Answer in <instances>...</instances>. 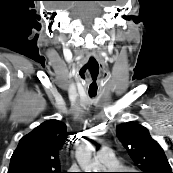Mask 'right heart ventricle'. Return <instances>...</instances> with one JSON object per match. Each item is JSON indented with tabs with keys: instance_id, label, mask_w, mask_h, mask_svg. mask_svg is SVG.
I'll return each instance as SVG.
<instances>
[{
	"instance_id": "obj_1",
	"label": "right heart ventricle",
	"mask_w": 173,
	"mask_h": 173,
	"mask_svg": "<svg viewBox=\"0 0 173 173\" xmlns=\"http://www.w3.org/2000/svg\"><path fill=\"white\" fill-rule=\"evenodd\" d=\"M121 165H119L117 162H116V166L114 168H120Z\"/></svg>"
}]
</instances>
